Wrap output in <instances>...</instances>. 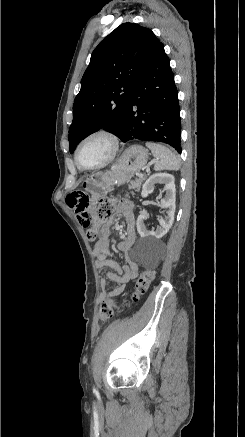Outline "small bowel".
Returning <instances> with one entry per match:
<instances>
[{"mask_svg": "<svg viewBox=\"0 0 245 437\" xmlns=\"http://www.w3.org/2000/svg\"><path fill=\"white\" fill-rule=\"evenodd\" d=\"M68 202L71 208L75 210L77 222L81 224L82 229H91V215L89 212V200L84 199L80 193H74L68 198ZM115 209L118 214L122 215L126 222L125 238L118 243L117 248L120 252L124 253L126 263L123 266L113 260L112 251L110 250L109 233L111 222H106L101 228V238L95 243L93 248V254L96 258L95 265L97 268H110L116 272H107V279L118 283V286L113 290V295L121 294L126 284L135 279L138 275V264L134 261L129 252L133 247L136 240L135 232V216L133 212V204L128 200H122L115 205ZM103 287L107 286V281L103 280ZM106 293L103 292L100 295V301L106 299Z\"/></svg>", "mask_w": 245, "mask_h": 437, "instance_id": "obj_1", "label": "small bowel"}]
</instances>
